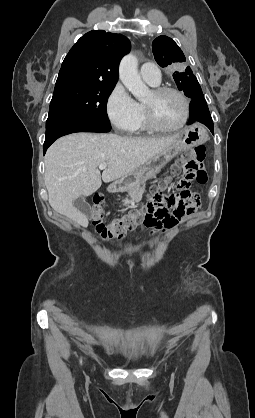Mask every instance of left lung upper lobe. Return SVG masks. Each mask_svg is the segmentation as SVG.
Listing matches in <instances>:
<instances>
[{"mask_svg":"<svg viewBox=\"0 0 255 418\" xmlns=\"http://www.w3.org/2000/svg\"><path fill=\"white\" fill-rule=\"evenodd\" d=\"M152 51L156 62L161 67L169 65L180 67L186 58L178 45L167 36H159L152 43ZM173 78L184 94L191 98L204 97L201 87L190 67L178 69L173 73Z\"/></svg>","mask_w":255,"mask_h":418,"instance_id":"obj_1","label":"left lung upper lobe"}]
</instances>
